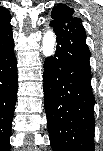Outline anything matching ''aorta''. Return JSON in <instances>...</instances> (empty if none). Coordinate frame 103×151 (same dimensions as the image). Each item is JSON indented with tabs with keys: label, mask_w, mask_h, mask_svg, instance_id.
<instances>
[{
	"label": "aorta",
	"mask_w": 103,
	"mask_h": 151,
	"mask_svg": "<svg viewBox=\"0 0 103 151\" xmlns=\"http://www.w3.org/2000/svg\"><path fill=\"white\" fill-rule=\"evenodd\" d=\"M56 46V36L52 29H48L42 39V52L45 57L54 55Z\"/></svg>",
	"instance_id": "obj_1"
}]
</instances>
